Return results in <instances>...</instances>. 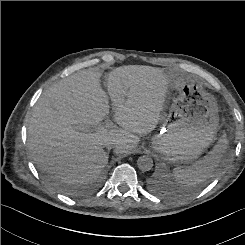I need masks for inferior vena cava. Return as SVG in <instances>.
Listing matches in <instances>:
<instances>
[{
  "label": "inferior vena cava",
  "instance_id": "inferior-vena-cava-1",
  "mask_svg": "<svg viewBox=\"0 0 245 245\" xmlns=\"http://www.w3.org/2000/svg\"><path fill=\"white\" fill-rule=\"evenodd\" d=\"M104 146H105L107 149H111V148H114V147H115V145H114L113 143H111V142H106V143L104 144Z\"/></svg>",
  "mask_w": 245,
  "mask_h": 245
}]
</instances>
